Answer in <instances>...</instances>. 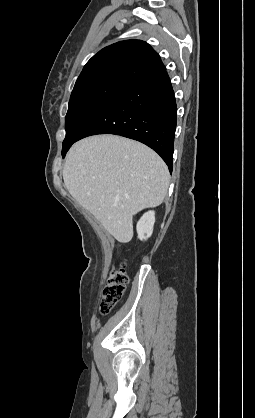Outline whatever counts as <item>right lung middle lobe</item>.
<instances>
[{
	"mask_svg": "<svg viewBox=\"0 0 255 418\" xmlns=\"http://www.w3.org/2000/svg\"><path fill=\"white\" fill-rule=\"evenodd\" d=\"M125 87L110 82H94L75 87L65 117L66 137L63 149L73 144L95 114Z\"/></svg>",
	"mask_w": 255,
	"mask_h": 418,
	"instance_id": "1",
	"label": "right lung middle lobe"
}]
</instances>
